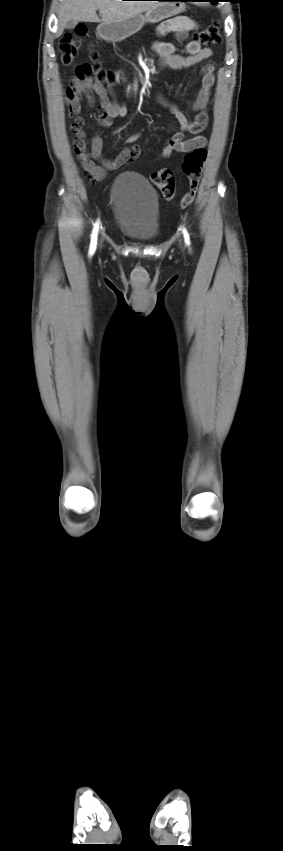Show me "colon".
Returning a JSON list of instances; mask_svg holds the SVG:
<instances>
[{"mask_svg": "<svg viewBox=\"0 0 283 851\" xmlns=\"http://www.w3.org/2000/svg\"><path fill=\"white\" fill-rule=\"evenodd\" d=\"M84 35L85 29L78 28L75 32L63 36L60 42V52L64 64H70L74 60L81 45V38ZM193 39L206 47L218 44L221 41L219 23L215 22L206 29L196 32ZM90 60L91 63L86 65L87 74L95 75L100 83L113 84L115 82L113 74L101 69L97 53L92 52ZM206 157L207 150L203 147L190 151L184 157L182 172L188 179V191L180 199L179 206L181 208H187L195 199ZM151 180L161 190L166 200L174 198L175 176L172 170L161 169L156 171L152 174Z\"/></svg>", "mask_w": 283, "mask_h": 851, "instance_id": "5ec220e1", "label": "colon"}]
</instances>
